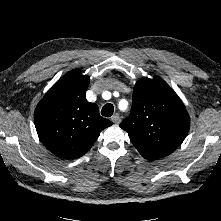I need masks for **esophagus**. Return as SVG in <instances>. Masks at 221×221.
Masks as SVG:
<instances>
[{"instance_id": "1", "label": "esophagus", "mask_w": 221, "mask_h": 221, "mask_svg": "<svg viewBox=\"0 0 221 221\" xmlns=\"http://www.w3.org/2000/svg\"><path fill=\"white\" fill-rule=\"evenodd\" d=\"M111 120L113 123L115 124H119L121 119H120V116L118 114H114L112 117H111Z\"/></svg>"}]
</instances>
